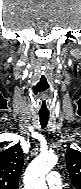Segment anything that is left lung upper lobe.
<instances>
[{
  "label": "left lung upper lobe",
  "instance_id": "left-lung-upper-lobe-1",
  "mask_svg": "<svg viewBox=\"0 0 81 189\" xmlns=\"http://www.w3.org/2000/svg\"><path fill=\"white\" fill-rule=\"evenodd\" d=\"M65 159L71 181L77 189H81V152L69 148Z\"/></svg>",
  "mask_w": 81,
  "mask_h": 189
}]
</instances>
